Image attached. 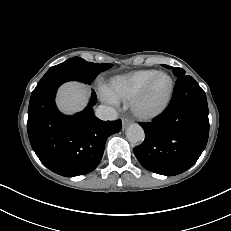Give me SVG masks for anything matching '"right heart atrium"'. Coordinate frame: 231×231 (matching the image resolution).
I'll list each match as a JSON object with an SVG mask.
<instances>
[{
    "label": "right heart atrium",
    "mask_w": 231,
    "mask_h": 231,
    "mask_svg": "<svg viewBox=\"0 0 231 231\" xmlns=\"http://www.w3.org/2000/svg\"><path fill=\"white\" fill-rule=\"evenodd\" d=\"M105 99L110 102V103H113L114 101L110 100L109 98L105 97Z\"/></svg>",
    "instance_id": "right-heart-atrium-1"
}]
</instances>
